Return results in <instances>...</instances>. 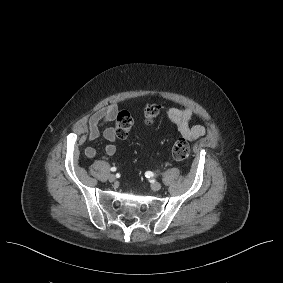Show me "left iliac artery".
Wrapping results in <instances>:
<instances>
[{
  "label": "left iliac artery",
  "instance_id": "left-iliac-artery-1",
  "mask_svg": "<svg viewBox=\"0 0 283 283\" xmlns=\"http://www.w3.org/2000/svg\"><path fill=\"white\" fill-rule=\"evenodd\" d=\"M147 174L149 175V177H150V176H153V173L150 172V171H148Z\"/></svg>",
  "mask_w": 283,
  "mask_h": 283
}]
</instances>
